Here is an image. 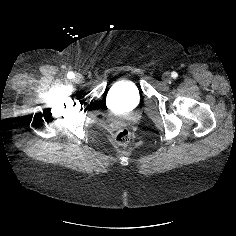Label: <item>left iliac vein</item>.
<instances>
[{
    "label": "left iliac vein",
    "mask_w": 236,
    "mask_h": 236,
    "mask_svg": "<svg viewBox=\"0 0 236 236\" xmlns=\"http://www.w3.org/2000/svg\"><path fill=\"white\" fill-rule=\"evenodd\" d=\"M163 81L165 83H168L170 81V75L168 73H164L163 75Z\"/></svg>",
    "instance_id": "4c4485c4"
}]
</instances>
